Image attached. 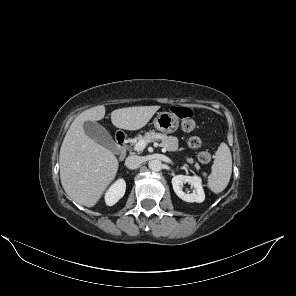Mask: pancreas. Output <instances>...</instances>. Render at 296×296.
Returning a JSON list of instances; mask_svg holds the SVG:
<instances>
[{
	"label": "pancreas",
	"mask_w": 296,
	"mask_h": 296,
	"mask_svg": "<svg viewBox=\"0 0 296 296\" xmlns=\"http://www.w3.org/2000/svg\"><path fill=\"white\" fill-rule=\"evenodd\" d=\"M157 140H160L161 143L159 144L161 147L165 148L167 151H177L178 150V139L173 136H167L164 134L156 133L154 131L146 132L144 135H138L135 138V141H145L147 144L151 142H155ZM186 161L190 164L194 163L193 158H186ZM195 168L197 170L200 169V166L198 163H195Z\"/></svg>",
	"instance_id": "pancreas-1"
}]
</instances>
